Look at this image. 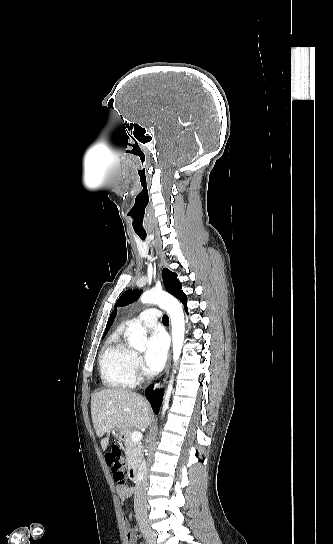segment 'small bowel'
Instances as JSON below:
<instances>
[{
  "label": "small bowel",
  "mask_w": 333,
  "mask_h": 544,
  "mask_svg": "<svg viewBox=\"0 0 333 544\" xmlns=\"http://www.w3.org/2000/svg\"><path fill=\"white\" fill-rule=\"evenodd\" d=\"M117 492L122 500H126L133 494V487L128 485H118ZM126 539L128 544H136V533L133 528H128Z\"/></svg>",
  "instance_id": "small-bowel-1"
}]
</instances>
